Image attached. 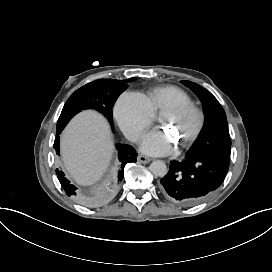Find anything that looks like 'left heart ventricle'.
Masks as SVG:
<instances>
[{
	"label": "left heart ventricle",
	"mask_w": 272,
	"mask_h": 272,
	"mask_svg": "<svg viewBox=\"0 0 272 272\" xmlns=\"http://www.w3.org/2000/svg\"><path fill=\"white\" fill-rule=\"evenodd\" d=\"M190 117L184 114L167 111L162 115V122L174 126L177 134L184 137Z\"/></svg>",
	"instance_id": "obj_1"
}]
</instances>
